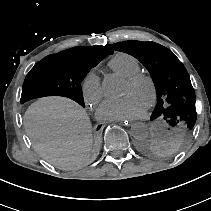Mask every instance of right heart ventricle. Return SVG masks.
<instances>
[{
    "instance_id": "1",
    "label": "right heart ventricle",
    "mask_w": 211,
    "mask_h": 211,
    "mask_svg": "<svg viewBox=\"0 0 211 211\" xmlns=\"http://www.w3.org/2000/svg\"><path fill=\"white\" fill-rule=\"evenodd\" d=\"M108 66L121 77L128 78L141 71L140 61L132 54L119 52L108 62Z\"/></svg>"
}]
</instances>
